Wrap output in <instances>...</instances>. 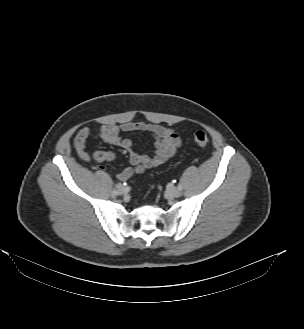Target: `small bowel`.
<instances>
[{
	"label": "small bowel",
	"instance_id": "small-bowel-1",
	"mask_svg": "<svg viewBox=\"0 0 304 329\" xmlns=\"http://www.w3.org/2000/svg\"><path fill=\"white\" fill-rule=\"evenodd\" d=\"M148 132L157 140L156 151L153 155L139 154L134 150L130 139L121 136L122 133ZM91 134L89 126L82 127L74 138V148L78 155L85 161L95 164L110 162L115 159L111 151L98 150L89 155L85 150L88 137ZM99 137L112 145L124 149L129 157L132 167L123 169L118 173V178L127 180L135 174H141L148 169L154 168L170 159L181 145L179 135L171 128L148 123L144 121L125 122L121 125H103L98 131Z\"/></svg>",
	"mask_w": 304,
	"mask_h": 329
}]
</instances>
